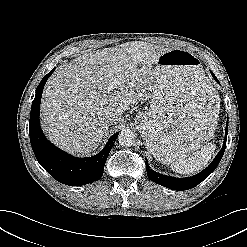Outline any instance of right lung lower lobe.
<instances>
[{
    "instance_id": "obj_1",
    "label": "right lung lower lobe",
    "mask_w": 247,
    "mask_h": 247,
    "mask_svg": "<svg viewBox=\"0 0 247 247\" xmlns=\"http://www.w3.org/2000/svg\"><path fill=\"white\" fill-rule=\"evenodd\" d=\"M54 70L41 80L32 102L29 122L31 146L37 161L54 179L69 186L85 185L102 177L106 159L118 133L111 136L101 152L87 158L73 157L51 144L41 130L39 114L44 85Z\"/></svg>"
}]
</instances>
